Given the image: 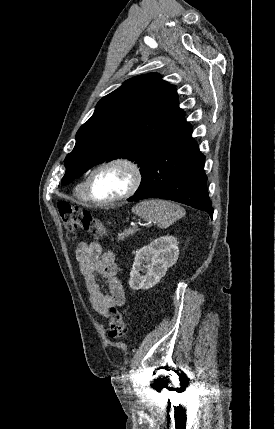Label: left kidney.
Masks as SVG:
<instances>
[{"mask_svg":"<svg viewBox=\"0 0 275 429\" xmlns=\"http://www.w3.org/2000/svg\"><path fill=\"white\" fill-rule=\"evenodd\" d=\"M178 244L175 237L163 236L142 247L135 256L130 272V288L147 290L157 284L168 268L176 263Z\"/></svg>","mask_w":275,"mask_h":429,"instance_id":"obj_1","label":"left kidney"}]
</instances>
